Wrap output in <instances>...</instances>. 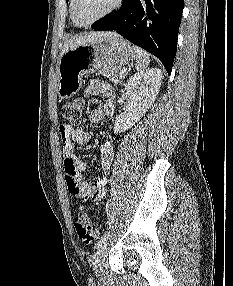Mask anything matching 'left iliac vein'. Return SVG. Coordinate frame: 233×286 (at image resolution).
<instances>
[{
    "label": "left iliac vein",
    "instance_id": "4c4485c4",
    "mask_svg": "<svg viewBox=\"0 0 233 286\" xmlns=\"http://www.w3.org/2000/svg\"><path fill=\"white\" fill-rule=\"evenodd\" d=\"M106 246L107 243L104 242L95 253L93 265L96 275H99L103 270L104 261L107 253Z\"/></svg>",
    "mask_w": 233,
    "mask_h": 286
}]
</instances>
